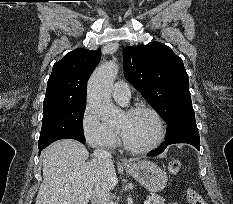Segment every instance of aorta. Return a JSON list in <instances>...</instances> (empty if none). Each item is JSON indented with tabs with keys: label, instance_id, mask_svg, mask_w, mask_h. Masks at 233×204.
<instances>
[{
	"label": "aorta",
	"instance_id": "aorta-1",
	"mask_svg": "<svg viewBox=\"0 0 233 204\" xmlns=\"http://www.w3.org/2000/svg\"><path fill=\"white\" fill-rule=\"evenodd\" d=\"M118 74V65L109 61L95 69L88 81L87 100L102 121H115L121 110L111 99V88Z\"/></svg>",
	"mask_w": 233,
	"mask_h": 204
}]
</instances>
